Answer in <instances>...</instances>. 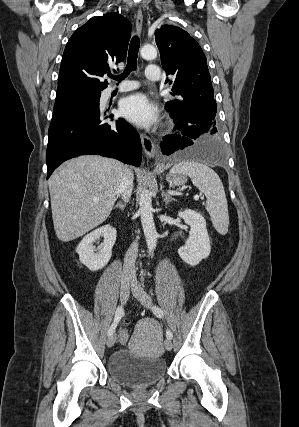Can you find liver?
<instances>
[{"label": "liver", "instance_id": "obj_1", "mask_svg": "<svg viewBox=\"0 0 299 427\" xmlns=\"http://www.w3.org/2000/svg\"><path fill=\"white\" fill-rule=\"evenodd\" d=\"M126 167L118 160L79 156L49 179L54 230L60 241L74 240L109 216Z\"/></svg>", "mask_w": 299, "mask_h": 427}]
</instances>
